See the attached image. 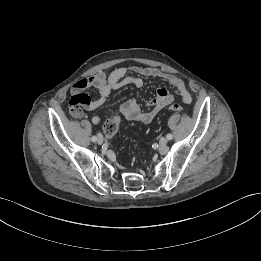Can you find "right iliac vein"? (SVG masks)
<instances>
[{
	"instance_id": "obj_1",
	"label": "right iliac vein",
	"mask_w": 261,
	"mask_h": 261,
	"mask_svg": "<svg viewBox=\"0 0 261 261\" xmlns=\"http://www.w3.org/2000/svg\"><path fill=\"white\" fill-rule=\"evenodd\" d=\"M103 141H104L103 136H102V135H98V137H97V143H98V144H102Z\"/></svg>"
}]
</instances>
